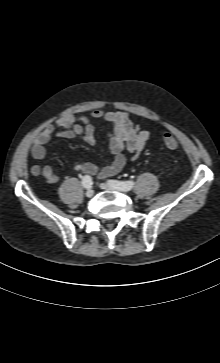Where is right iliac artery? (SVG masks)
<instances>
[{
    "label": "right iliac artery",
    "instance_id": "obj_1",
    "mask_svg": "<svg viewBox=\"0 0 220 363\" xmlns=\"http://www.w3.org/2000/svg\"><path fill=\"white\" fill-rule=\"evenodd\" d=\"M93 184L92 178L89 175H85L82 178V185L84 188H90Z\"/></svg>",
    "mask_w": 220,
    "mask_h": 363
}]
</instances>
